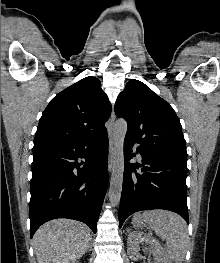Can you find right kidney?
<instances>
[{"label": "right kidney", "instance_id": "right-kidney-1", "mask_svg": "<svg viewBox=\"0 0 220 263\" xmlns=\"http://www.w3.org/2000/svg\"><path fill=\"white\" fill-rule=\"evenodd\" d=\"M71 263H80L79 261H72Z\"/></svg>", "mask_w": 220, "mask_h": 263}]
</instances>
